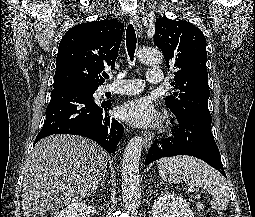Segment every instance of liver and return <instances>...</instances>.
Here are the masks:
<instances>
[{
    "label": "liver",
    "instance_id": "liver-1",
    "mask_svg": "<svg viewBox=\"0 0 255 217\" xmlns=\"http://www.w3.org/2000/svg\"><path fill=\"white\" fill-rule=\"evenodd\" d=\"M107 158L100 145L81 136L40 140L24 171V217H39L88 196L106 175Z\"/></svg>",
    "mask_w": 255,
    "mask_h": 217
}]
</instances>
